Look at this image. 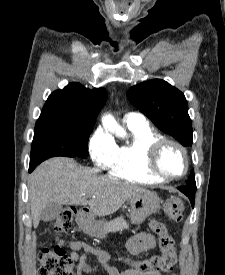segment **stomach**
Wrapping results in <instances>:
<instances>
[{
	"mask_svg": "<svg viewBox=\"0 0 225 275\" xmlns=\"http://www.w3.org/2000/svg\"><path fill=\"white\" fill-rule=\"evenodd\" d=\"M130 219L133 224H141L150 215L158 212L161 207V199L155 192L146 191L141 194L133 195L130 199ZM102 224L89 221L83 229L88 231L91 235L105 238L106 233L102 229Z\"/></svg>",
	"mask_w": 225,
	"mask_h": 275,
	"instance_id": "stomach-1",
	"label": "stomach"
}]
</instances>
